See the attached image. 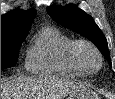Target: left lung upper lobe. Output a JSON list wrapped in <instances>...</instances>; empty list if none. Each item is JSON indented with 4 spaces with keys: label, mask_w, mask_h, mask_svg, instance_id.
Instances as JSON below:
<instances>
[{
    "label": "left lung upper lobe",
    "mask_w": 115,
    "mask_h": 99,
    "mask_svg": "<svg viewBox=\"0 0 115 99\" xmlns=\"http://www.w3.org/2000/svg\"><path fill=\"white\" fill-rule=\"evenodd\" d=\"M46 10L55 21L91 40L111 65L107 40L90 15L73 4L49 6Z\"/></svg>",
    "instance_id": "obj_1"
}]
</instances>
